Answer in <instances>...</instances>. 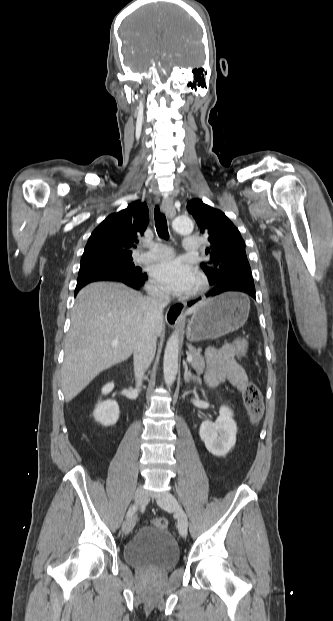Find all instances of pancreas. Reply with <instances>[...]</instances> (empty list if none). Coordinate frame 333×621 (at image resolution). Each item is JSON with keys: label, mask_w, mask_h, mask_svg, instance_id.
I'll list each match as a JSON object with an SVG mask.
<instances>
[{"label": "pancreas", "mask_w": 333, "mask_h": 621, "mask_svg": "<svg viewBox=\"0 0 333 621\" xmlns=\"http://www.w3.org/2000/svg\"><path fill=\"white\" fill-rule=\"evenodd\" d=\"M187 354L193 357V361L191 362V366L196 370L198 375L202 374L205 370V361L203 356L201 355V350L196 349L191 345H188Z\"/></svg>", "instance_id": "1"}]
</instances>
